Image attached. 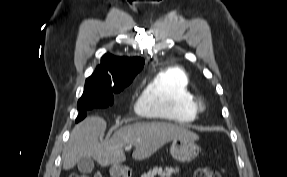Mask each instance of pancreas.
Masks as SVG:
<instances>
[{
  "label": "pancreas",
  "instance_id": "obj_1",
  "mask_svg": "<svg viewBox=\"0 0 287 177\" xmlns=\"http://www.w3.org/2000/svg\"><path fill=\"white\" fill-rule=\"evenodd\" d=\"M175 173H179V168L173 169L167 167L165 170H162V168H154L153 170H149L147 173H144L141 177H170Z\"/></svg>",
  "mask_w": 287,
  "mask_h": 177
}]
</instances>
